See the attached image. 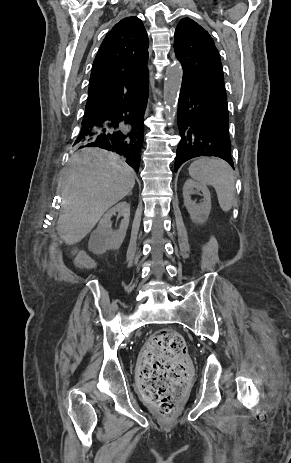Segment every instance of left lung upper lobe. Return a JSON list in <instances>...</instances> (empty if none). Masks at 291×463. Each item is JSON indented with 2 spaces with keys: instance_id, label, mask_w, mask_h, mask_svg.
Segmentation results:
<instances>
[{
  "instance_id": "obj_1",
  "label": "left lung upper lobe",
  "mask_w": 291,
  "mask_h": 463,
  "mask_svg": "<svg viewBox=\"0 0 291 463\" xmlns=\"http://www.w3.org/2000/svg\"><path fill=\"white\" fill-rule=\"evenodd\" d=\"M174 50L183 67L182 84L200 90L228 109L221 59L209 33L184 18L175 31Z\"/></svg>"
}]
</instances>
